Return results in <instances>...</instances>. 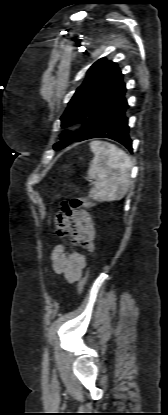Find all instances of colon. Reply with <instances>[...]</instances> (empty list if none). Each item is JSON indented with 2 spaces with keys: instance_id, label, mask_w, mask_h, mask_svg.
I'll list each match as a JSON object with an SVG mask.
<instances>
[{
  "instance_id": "5ec220e1",
  "label": "colon",
  "mask_w": 168,
  "mask_h": 415,
  "mask_svg": "<svg viewBox=\"0 0 168 415\" xmlns=\"http://www.w3.org/2000/svg\"><path fill=\"white\" fill-rule=\"evenodd\" d=\"M92 199V194H87V196H76V198L70 200L73 201L74 203V207H83L84 208H94L95 204L94 203H89L91 202ZM88 203V204H87ZM87 278L88 275L86 274L79 282V292L81 293L84 289V286L87 282Z\"/></svg>"
}]
</instances>
